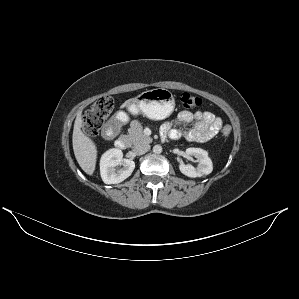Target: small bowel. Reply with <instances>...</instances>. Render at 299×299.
I'll use <instances>...</instances> for the list:
<instances>
[{"label":"small bowel","mask_w":299,"mask_h":299,"mask_svg":"<svg viewBox=\"0 0 299 299\" xmlns=\"http://www.w3.org/2000/svg\"><path fill=\"white\" fill-rule=\"evenodd\" d=\"M194 123L193 126L181 129L179 127ZM222 120L211 112L181 111L175 123H165L162 134L173 140L185 138L190 142H206L218 134L222 127Z\"/></svg>","instance_id":"1"}]
</instances>
